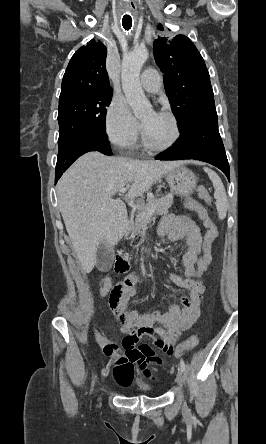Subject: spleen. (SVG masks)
Instances as JSON below:
<instances>
[{
    "mask_svg": "<svg viewBox=\"0 0 266 444\" xmlns=\"http://www.w3.org/2000/svg\"><path fill=\"white\" fill-rule=\"evenodd\" d=\"M204 171L208 174L210 180L214 186V198L216 199V207L218 211V216L220 219H224L227 213V195L224 188V185L220 179V177L209 168H204Z\"/></svg>",
    "mask_w": 266,
    "mask_h": 444,
    "instance_id": "1",
    "label": "spleen"
}]
</instances>
